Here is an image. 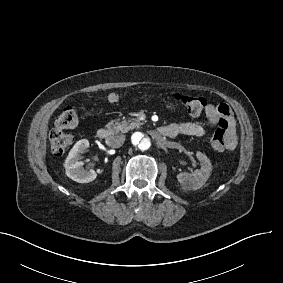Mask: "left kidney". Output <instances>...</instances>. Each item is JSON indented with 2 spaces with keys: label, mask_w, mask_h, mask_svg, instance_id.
<instances>
[{
  "label": "left kidney",
  "mask_w": 283,
  "mask_h": 283,
  "mask_svg": "<svg viewBox=\"0 0 283 283\" xmlns=\"http://www.w3.org/2000/svg\"><path fill=\"white\" fill-rule=\"evenodd\" d=\"M201 169H197L192 173L182 172L177 175V180L186 190H197L201 188L210 178L212 173V164L209 158L200 151H196Z\"/></svg>",
  "instance_id": "obj_1"
}]
</instances>
